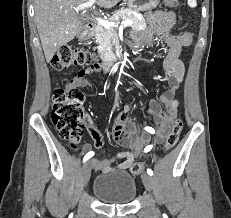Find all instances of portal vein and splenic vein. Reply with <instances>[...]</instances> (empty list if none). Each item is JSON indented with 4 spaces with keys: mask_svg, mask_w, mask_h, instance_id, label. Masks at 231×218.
I'll list each match as a JSON object with an SVG mask.
<instances>
[{
    "mask_svg": "<svg viewBox=\"0 0 231 218\" xmlns=\"http://www.w3.org/2000/svg\"><path fill=\"white\" fill-rule=\"evenodd\" d=\"M95 2H96V0H89L86 3H82V4L78 5L77 7H75V10L78 12L80 10L89 8V7L93 6ZM96 21L106 28L118 27V25H119L116 22L104 20L101 17H96ZM121 24L124 26H132L133 22L131 20H124V21H122Z\"/></svg>",
    "mask_w": 231,
    "mask_h": 218,
    "instance_id": "1",
    "label": "portal vein and splenic vein"
}]
</instances>
